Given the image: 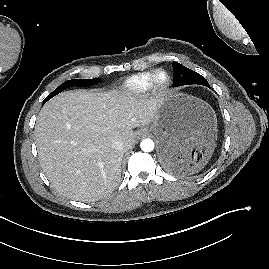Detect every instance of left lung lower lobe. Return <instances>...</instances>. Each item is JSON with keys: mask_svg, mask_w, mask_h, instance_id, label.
<instances>
[{"mask_svg": "<svg viewBox=\"0 0 269 269\" xmlns=\"http://www.w3.org/2000/svg\"><path fill=\"white\" fill-rule=\"evenodd\" d=\"M174 157H175V153L172 149H167L165 151L164 158L167 163L173 162Z\"/></svg>", "mask_w": 269, "mask_h": 269, "instance_id": "0a47b994", "label": "left lung lower lobe"}]
</instances>
